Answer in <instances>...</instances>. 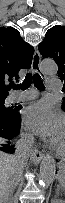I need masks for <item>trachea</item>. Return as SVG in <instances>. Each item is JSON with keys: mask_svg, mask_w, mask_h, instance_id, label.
<instances>
[{"mask_svg": "<svg viewBox=\"0 0 65 203\" xmlns=\"http://www.w3.org/2000/svg\"><path fill=\"white\" fill-rule=\"evenodd\" d=\"M32 82L34 83L36 88L41 90L45 89L41 76L39 74L32 75L30 73L26 75L23 83L19 85H13V88L25 90L31 86Z\"/></svg>", "mask_w": 65, "mask_h": 203, "instance_id": "trachea-1", "label": "trachea"}]
</instances>
